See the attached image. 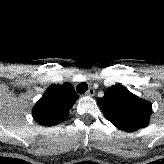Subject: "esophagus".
I'll return each instance as SVG.
<instances>
[{
	"label": "esophagus",
	"mask_w": 164,
	"mask_h": 164,
	"mask_svg": "<svg viewBox=\"0 0 164 164\" xmlns=\"http://www.w3.org/2000/svg\"><path fill=\"white\" fill-rule=\"evenodd\" d=\"M86 95L94 96L95 95V90L92 87L89 88L88 91L86 92Z\"/></svg>",
	"instance_id": "esophagus-1"
}]
</instances>
